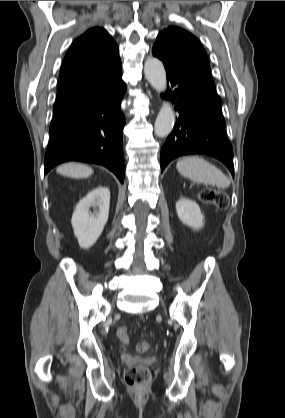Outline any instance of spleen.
<instances>
[{
	"label": "spleen",
	"instance_id": "spleen-1",
	"mask_svg": "<svg viewBox=\"0 0 285 418\" xmlns=\"http://www.w3.org/2000/svg\"><path fill=\"white\" fill-rule=\"evenodd\" d=\"M178 172L195 182L215 185L218 188L230 186V179L216 166L198 156H187L177 162Z\"/></svg>",
	"mask_w": 285,
	"mask_h": 418
}]
</instances>
